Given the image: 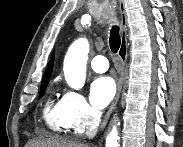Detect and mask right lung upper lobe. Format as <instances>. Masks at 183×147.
<instances>
[{
	"mask_svg": "<svg viewBox=\"0 0 183 147\" xmlns=\"http://www.w3.org/2000/svg\"><path fill=\"white\" fill-rule=\"evenodd\" d=\"M53 61H54V53L52 54V57L50 59V62L48 64V66H47V69H46L44 78L42 80L41 86L47 85L48 82H49V80H50V77H51V74H52V68H53Z\"/></svg>",
	"mask_w": 183,
	"mask_h": 147,
	"instance_id": "1",
	"label": "right lung upper lobe"
}]
</instances>
